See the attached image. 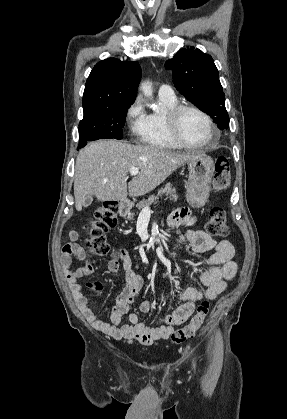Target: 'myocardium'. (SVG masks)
<instances>
[{
    "label": "myocardium",
    "instance_id": "myocardium-1",
    "mask_svg": "<svg viewBox=\"0 0 287 419\" xmlns=\"http://www.w3.org/2000/svg\"><path fill=\"white\" fill-rule=\"evenodd\" d=\"M191 110L200 114L208 124L210 137L203 143L192 144L183 139L179 131V118L184 111ZM165 123L168 133L172 139L180 146L190 149H201L215 143L219 138V133L212 118L203 109L192 104H177L165 113Z\"/></svg>",
    "mask_w": 287,
    "mask_h": 419
}]
</instances>
